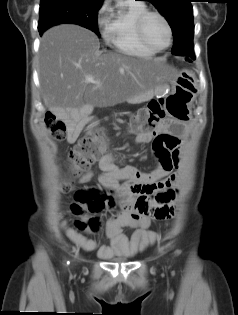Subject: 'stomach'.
<instances>
[{
  "mask_svg": "<svg viewBox=\"0 0 238 315\" xmlns=\"http://www.w3.org/2000/svg\"><path fill=\"white\" fill-rule=\"evenodd\" d=\"M173 91L167 94L164 108L167 116H172L174 122H191L194 110L192 102L199 97V84H194L193 72H178L172 81Z\"/></svg>",
  "mask_w": 238,
  "mask_h": 315,
  "instance_id": "obj_1",
  "label": "stomach"
}]
</instances>
